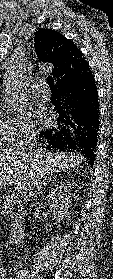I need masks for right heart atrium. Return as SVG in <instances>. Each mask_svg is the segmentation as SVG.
<instances>
[{
	"instance_id": "obj_1",
	"label": "right heart atrium",
	"mask_w": 113,
	"mask_h": 279,
	"mask_svg": "<svg viewBox=\"0 0 113 279\" xmlns=\"http://www.w3.org/2000/svg\"><path fill=\"white\" fill-rule=\"evenodd\" d=\"M11 141H19L36 132L35 123L29 112H20L8 117Z\"/></svg>"
}]
</instances>
